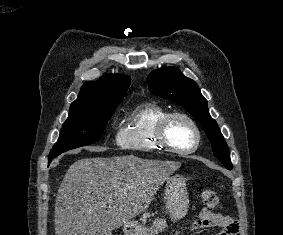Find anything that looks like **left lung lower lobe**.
Here are the masks:
<instances>
[{"instance_id":"1","label":"left lung lower lobe","mask_w":283,"mask_h":235,"mask_svg":"<svg viewBox=\"0 0 283 235\" xmlns=\"http://www.w3.org/2000/svg\"><path fill=\"white\" fill-rule=\"evenodd\" d=\"M225 165V167L228 169V170H231L233 168V165L232 163H223Z\"/></svg>"}]
</instances>
